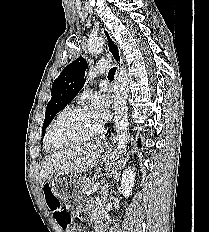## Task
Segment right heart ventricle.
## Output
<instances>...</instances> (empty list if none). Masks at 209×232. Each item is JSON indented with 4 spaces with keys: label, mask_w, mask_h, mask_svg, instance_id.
Masks as SVG:
<instances>
[{
    "label": "right heart ventricle",
    "mask_w": 209,
    "mask_h": 232,
    "mask_svg": "<svg viewBox=\"0 0 209 232\" xmlns=\"http://www.w3.org/2000/svg\"><path fill=\"white\" fill-rule=\"evenodd\" d=\"M45 149H46L47 151H52V150H53V149L50 148L46 143H45Z\"/></svg>",
    "instance_id": "1"
}]
</instances>
